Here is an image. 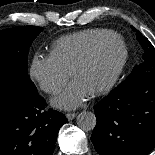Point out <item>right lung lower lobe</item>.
<instances>
[{
  "mask_svg": "<svg viewBox=\"0 0 155 155\" xmlns=\"http://www.w3.org/2000/svg\"><path fill=\"white\" fill-rule=\"evenodd\" d=\"M36 92L27 104L0 101V155H52L64 114L49 109Z\"/></svg>",
  "mask_w": 155,
  "mask_h": 155,
  "instance_id": "right-lung-lower-lobe-1",
  "label": "right lung lower lobe"
}]
</instances>
